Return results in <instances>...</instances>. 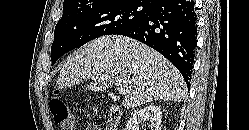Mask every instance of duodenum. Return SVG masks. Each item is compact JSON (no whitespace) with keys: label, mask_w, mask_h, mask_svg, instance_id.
I'll return each mask as SVG.
<instances>
[{"label":"duodenum","mask_w":249,"mask_h":130,"mask_svg":"<svg viewBox=\"0 0 249 130\" xmlns=\"http://www.w3.org/2000/svg\"><path fill=\"white\" fill-rule=\"evenodd\" d=\"M121 112L117 107H111L105 130H119Z\"/></svg>","instance_id":"410a0bca"}]
</instances>
